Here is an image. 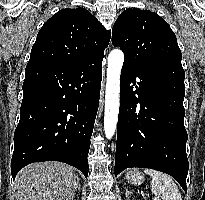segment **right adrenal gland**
Returning a JSON list of instances; mask_svg holds the SVG:
<instances>
[{
    "label": "right adrenal gland",
    "instance_id": "1",
    "mask_svg": "<svg viewBox=\"0 0 205 200\" xmlns=\"http://www.w3.org/2000/svg\"><path fill=\"white\" fill-rule=\"evenodd\" d=\"M77 190L80 191V182H79V179L77 180ZM72 200H74V198H72Z\"/></svg>",
    "mask_w": 205,
    "mask_h": 200
}]
</instances>
